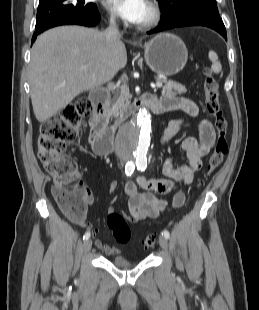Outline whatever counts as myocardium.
I'll use <instances>...</instances> for the list:
<instances>
[{
	"label": "myocardium",
	"mask_w": 259,
	"mask_h": 310,
	"mask_svg": "<svg viewBox=\"0 0 259 310\" xmlns=\"http://www.w3.org/2000/svg\"><path fill=\"white\" fill-rule=\"evenodd\" d=\"M146 3L151 9V17L148 21L137 24L136 27L139 30H150L159 25L162 20L163 10L157 0H147Z\"/></svg>",
	"instance_id": "1"
}]
</instances>
